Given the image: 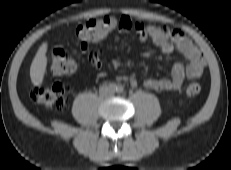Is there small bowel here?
<instances>
[{
    "mask_svg": "<svg viewBox=\"0 0 231 170\" xmlns=\"http://www.w3.org/2000/svg\"><path fill=\"white\" fill-rule=\"evenodd\" d=\"M120 33H127L134 30L138 37L144 41L151 39L162 53H171L178 50L188 61L187 65L177 62L173 65L170 78H149L143 82L145 88L153 91L176 92L182 87L184 80L198 78L205 67V59L200 50L190 39L178 28L169 29L165 26L145 25L133 20L129 16H122L118 22ZM118 40V37L116 38ZM82 51L90 63L100 66V52L89 47L88 42H82ZM151 52L145 54L151 56ZM120 79L127 81L130 85L136 86V76H126Z\"/></svg>",
    "mask_w": 231,
    "mask_h": 170,
    "instance_id": "c3829d8e",
    "label": "small bowel"
}]
</instances>
